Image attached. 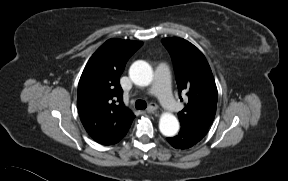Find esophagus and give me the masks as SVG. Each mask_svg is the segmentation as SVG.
I'll return each mask as SVG.
<instances>
[{
	"label": "esophagus",
	"instance_id": "1",
	"mask_svg": "<svg viewBox=\"0 0 288 181\" xmlns=\"http://www.w3.org/2000/svg\"><path fill=\"white\" fill-rule=\"evenodd\" d=\"M157 105L155 103H151L146 109L147 113H154L157 110Z\"/></svg>",
	"mask_w": 288,
	"mask_h": 181
}]
</instances>
